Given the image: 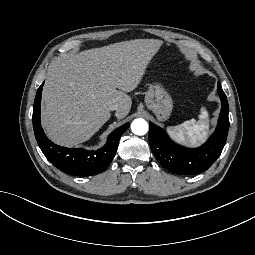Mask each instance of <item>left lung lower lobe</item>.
<instances>
[{
  "label": "left lung lower lobe",
  "mask_w": 255,
  "mask_h": 255,
  "mask_svg": "<svg viewBox=\"0 0 255 255\" xmlns=\"http://www.w3.org/2000/svg\"><path fill=\"white\" fill-rule=\"evenodd\" d=\"M221 98L218 125L211 138L201 147L188 149L172 142L166 133L149 123V144L159 163L174 174L195 175L207 170L220 156L229 130V107L221 84L217 85Z\"/></svg>",
  "instance_id": "left-lung-lower-lobe-1"
}]
</instances>
